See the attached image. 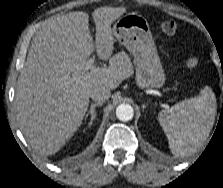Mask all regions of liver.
I'll use <instances>...</instances> for the list:
<instances>
[{"label": "liver", "mask_w": 223, "mask_h": 188, "mask_svg": "<svg viewBox=\"0 0 223 188\" xmlns=\"http://www.w3.org/2000/svg\"><path fill=\"white\" fill-rule=\"evenodd\" d=\"M125 12V7L94 10L95 43L89 15L82 11L47 20L33 38L15 104L20 130L42 155L58 152L78 130L94 88L113 90L129 76L127 62L110 58L115 42L111 24ZM95 49L100 59H109L108 67L86 68Z\"/></svg>", "instance_id": "1"}]
</instances>
